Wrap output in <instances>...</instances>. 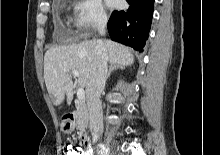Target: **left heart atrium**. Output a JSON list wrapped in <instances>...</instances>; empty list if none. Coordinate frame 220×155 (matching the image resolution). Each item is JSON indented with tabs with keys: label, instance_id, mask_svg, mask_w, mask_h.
<instances>
[{
	"label": "left heart atrium",
	"instance_id": "left-heart-atrium-1",
	"mask_svg": "<svg viewBox=\"0 0 220 155\" xmlns=\"http://www.w3.org/2000/svg\"><path fill=\"white\" fill-rule=\"evenodd\" d=\"M106 4L110 7H114L118 4V0H105Z\"/></svg>",
	"mask_w": 220,
	"mask_h": 155
}]
</instances>
